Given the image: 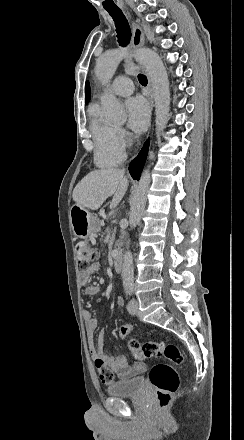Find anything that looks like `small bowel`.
Instances as JSON below:
<instances>
[{
	"mask_svg": "<svg viewBox=\"0 0 244 440\" xmlns=\"http://www.w3.org/2000/svg\"><path fill=\"white\" fill-rule=\"evenodd\" d=\"M98 269L99 264L94 263L80 272V281L82 285L85 286V293L88 296H96L100 291L98 285L91 283V279ZM118 302H121V299H118ZM84 319L86 322L90 354L95 362L99 360L97 357L100 355L102 357L100 360H102L105 365L122 380L138 377L146 371L147 367L144 362L128 364L124 355H105L103 351V332L99 333L97 342L95 344L93 342V335L98 326L97 319L92 317L89 312L84 313Z\"/></svg>",
	"mask_w": 244,
	"mask_h": 440,
	"instance_id": "small-bowel-1",
	"label": "small bowel"
}]
</instances>
